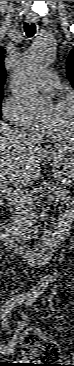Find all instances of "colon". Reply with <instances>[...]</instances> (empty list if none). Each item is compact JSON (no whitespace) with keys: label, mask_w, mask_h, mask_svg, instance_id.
Wrapping results in <instances>:
<instances>
[{"label":"colon","mask_w":74,"mask_h":366,"mask_svg":"<svg viewBox=\"0 0 74 366\" xmlns=\"http://www.w3.org/2000/svg\"><path fill=\"white\" fill-rule=\"evenodd\" d=\"M66 227L67 223L62 225V230L65 231ZM21 342L25 356L29 359H45L48 357L49 361L54 362L56 360L55 356L59 354V349L54 343L44 339L34 330L27 331L22 336ZM45 365L51 366V364Z\"/></svg>","instance_id":"colon-1"}]
</instances>
